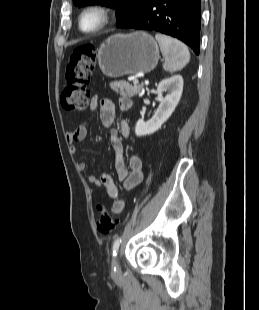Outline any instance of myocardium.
<instances>
[{
	"instance_id": "f54148a6",
	"label": "myocardium",
	"mask_w": 259,
	"mask_h": 310,
	"mask_svg": "<svg viewBox=\"0 0 259 310\" xmlns=\"http://www.w3.org/2000/svg\"><path fill=\"white\" fill-rule=\"evenodd\" d=\"M90 13H97L100 16V22L92 29H85L83 26L84 17ZM111 10L102 4H92L84 8L78 17V27L86 34H94L105 29L111 21Z\"/></svg>"
}]
</instances>
